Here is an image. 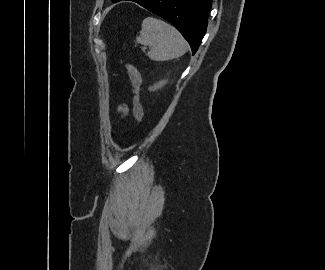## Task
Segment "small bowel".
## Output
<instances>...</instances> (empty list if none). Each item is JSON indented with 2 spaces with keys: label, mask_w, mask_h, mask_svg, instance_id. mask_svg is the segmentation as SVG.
Wrapping results in <instances>:
<instances>
[{
  "label": "small bowel",
  "mask_w": 325,
  "mask_h": 270,
  "mask_svg": "<svg viewBox=\"0 0 325 270\" xmlns=\"http://www.w3.org/2000/svg\"><path fill=\"white\" fill-rule=\"evenodd\" d=\"M120 111H121V112H125V111H126V107H125V106H121V107H120Z\"/></svg>",
  "instance_id": "c3829d8e"
}]
</instances>
